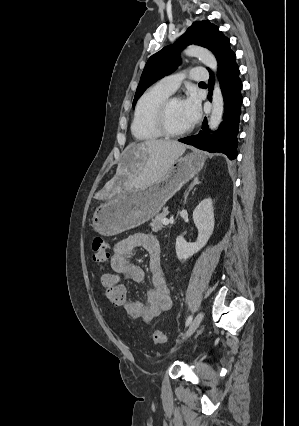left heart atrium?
<instances>
[{"label": "left heart atrium", "instance_id": "39dd6f15", "mask_svg": "<svg viewBox=\"0 0 299 426\" xmlns=\"http://www.w3.org/2000/svg\"><path fill=\"white\" fill-rule=\"evenodd\" d=\"M182 102L189 123H195L200 116V105L198 99L194 95H190Z\"/></svg>", "mask_w": 299, "mask_h": 426}]
</instances>
